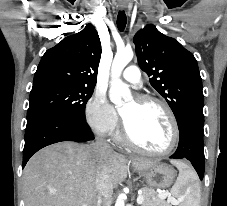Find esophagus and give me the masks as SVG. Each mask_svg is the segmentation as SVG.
Segmentation results:
<instances>
[{"mask_svg": "<svg viewBox=\"0 0 227 206\" xmlns=\"http://www.w3.org/2000/svg\"><path fill=\"white\" fill-rule=\"evenodd\" d=\"M126 8V3L124 2V1H121L120 3H119V9L120 10H124Z\"/></svg>", "mask_w": 227, "mask_h": 206, "instance_id": "34e87169", "label": "esophagus"}]
</instances>
